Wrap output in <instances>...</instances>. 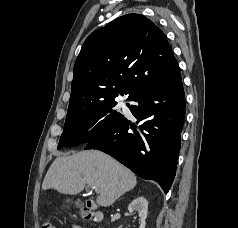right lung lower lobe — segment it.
<instances>
[{
    "instance_id": "1",
    "label": "right lung lower lobe",
    "mask_w": 238,
    "mask_h": 228,
    "mask_svg": "<svg viewBox=\"0 0 238 228\" xmlns=\"http://www.w3.org/2000/svg\"><path fill=\"white\" fill-rule=\"evenodd\" d=\"M138 129L123 117L110 129L90 140L85 149L101 150L143 179L158 182L168 192L174 180L185 118L181 76L161 87L129 99Z\"/></svg>"
}]
</instances>
